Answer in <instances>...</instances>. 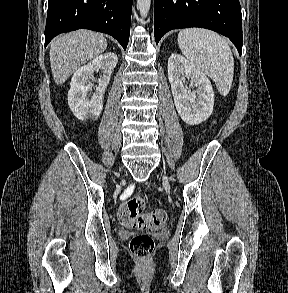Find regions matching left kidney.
Listing matches in <instances>:
<instances>
[{
  "mask_svg": "<svg viewBox=\"0 0 288 293\" xmlns=\"http://www.w3.org/2000/svg\"><path fill=\"white\" fill-rule=\"evenodd\" d=\"M168 78L179 116L189 125H198L212 113L214 92L210 80L183 56L172 54L168 60ZM195 87L194 91L184 86L185 79Z\"/></svg>",
  "mask_w": 288,
  "mask_h": 293,
  "instance_id": "5707ae66",
  "label": "left kidney"
}]
</instances>
